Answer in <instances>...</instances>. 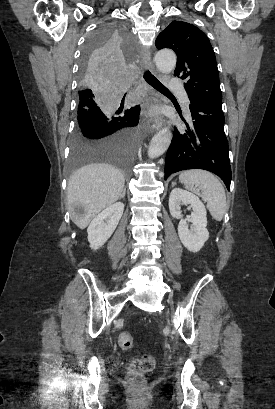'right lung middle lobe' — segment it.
<instances>
[{"label": "right lung middle lobe", "instance_id": "1", "mask_svg": "<svg viewBox=\"0 0 275 409\" xmlns=\"http://www.w3.org/2000/svg\"><path fill=\"white\" fill-rule=\"evenodd\" d=\"M136 43L122 24H99L79 57V103L71 139L67 176L75 178L78 167L111 163L131 176L141 133L140 107L130 108L125 91L127 66Z\"/></svg>", "mask_w": 275, "mask_h": 409}]
</instances>
